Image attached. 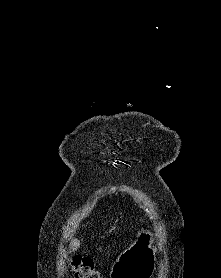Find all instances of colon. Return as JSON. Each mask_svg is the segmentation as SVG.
<instances>
[{"instance_id": "obj_1", "label": "colon", "mask_w": 221, "mask_h": 278, "mask_svg": "<svg viewBox=\"0 0 221 278\" xmlns=\"http://www.w3.org/2000/svg\"><path fill=\"white\" fill-rule=\"evenodd\" d=\"M68 264L75 278H102L101 273L94 267L92 259L88 257H73Z\"/></svg>"}]
</instances>
